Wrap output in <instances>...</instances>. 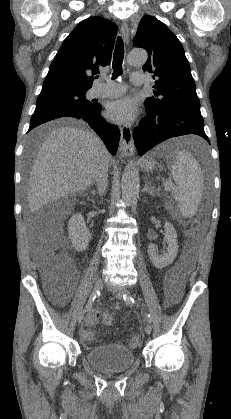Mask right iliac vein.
<instances>
[{
    "instance_id": "1",
    "label": "right iliac vein",
    "mask_w": 231,
    "mask_h": 419,
    "mask_svg": "<svg viewBox=\"0 0 231 419\" xmlns=\"http://www.w3.org/2000/svg\"><path fill=\"white\" fill-rule=\"evenodd\" d=\"M102 288H103V280L98 279L94 284L93 292L100 291ZM84 317H85V312L84 311L80 312L77 317V322L80 324L83 321Z\"/></svg>"
}]
</instances>
